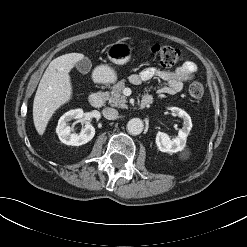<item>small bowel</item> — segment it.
Listing matches in <instances>:
<instances>
[{"instance_id": "c3829d8e", "label": "small bowel", "mask_w": 247, "mask_h": 247, "mask_svg": "<svg viewBox=\"0 0 247 247\" xmlns=\"http://www.w3.org/2000/svg\"><path fill=\"white\" fill-rule=\"evenodd\" d=\"M196 72V63L188 60L183 62L174 70H162L154 67H147L139 73L132 74L130 76V82L134 85H140L152 78H159L165 82V85L160 87L158 92L160 94L172 95L180 92L184 83L192 80Z\"/></svg>"}]
</instances>
